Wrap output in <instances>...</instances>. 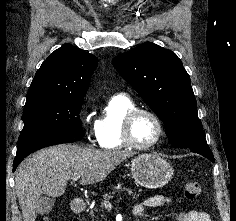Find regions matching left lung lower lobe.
Instances as JSON below:
<instances>
[{"label":"left lung lower lobe","instance_id":"0a47b994","mask_svg":"<svg viewBox=\"0 0 236 221\" xmlns=\"http://www.w3.org/2000/svg\"><path fill=\"white\" fill-rule=\"evenodd\" d=\"M190 150L192 152L201 154L204 157H206L207 159H209L210 161L214 162V157H213V154H212L209 146H203V147H200V148L190 149Z\"/></svg>","mask_w":236,"mask_h":221}]
</instances>
